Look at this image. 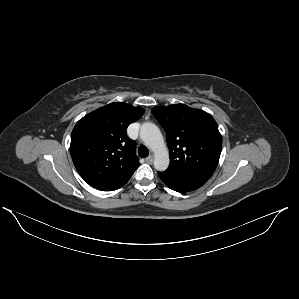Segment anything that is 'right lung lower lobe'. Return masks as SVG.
<instances>
[{
	"mask_svg": "<svg viewBox=\"0 0 299 299\" xmlns=\"http://www.w3.org/2000/svg\"><path fill=\"white\" fill-rule=\"evenodd\" d=\"M128 180L116 182V183L105 185V186H101V187H98L97 189L102 190V191H114V190L120 188L121 186H123L124 184H126Z\"/></svg>",
	"mask_w": 299,
	"mask_h": 299,
	"instance_id": "98d812e1",
	"label": "right lung lower lobe"
}]
</instances>
